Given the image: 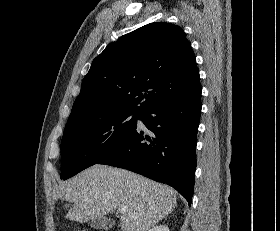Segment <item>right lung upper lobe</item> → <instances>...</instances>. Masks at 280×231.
I'll use <instances>...</instances> for the list:
<instances>
[{
  "mask_svg": "<svg viewBox=\"0 0 280 231\" xmlns=\"http://www.w3.org/2000/svg\"><path fill=\"white\" fill-rule=\"evenodd\" d=\"M195 90H201L199 71L182 28L150 23L110 43L93 60L68 120L143 114Z\"/></svg>",
  "mask_w": 280,
  "mask_h": 231,
  "instance_id": "cb5924a9",
  "label": "right lung upper lobe"
}]
</instances>
